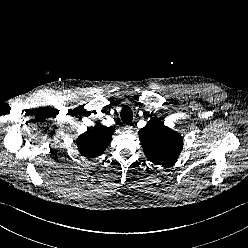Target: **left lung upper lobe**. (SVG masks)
<instances>
[{
  "label": "left lung upper lobe",
  "mask_w": 248,
  "mask_h": 248,
  "mask_svg": "<svg viewBox=\"0 0 248 248\" xmlns=\"http://www.w3.org/2000/svg\"><path fill=\"white\" fill-rule=\"evenodd\" d=\"M139 138L145 156L157 165L172 164L183 149L182 137L156 119L150 120L139 131Z\"/></svg>",
  "instance_id": "obj_1"
}]
</instances>
